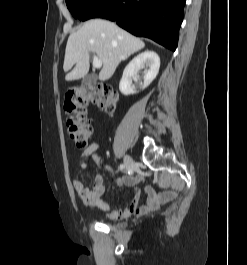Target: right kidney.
Returning <instances> with one entry per match:
<instances>
[{"label": "right kidney", "mask_w": 247, "mask_h": 265, "mask_svg": "<svg viewBox=\"0 0 247 265\" xmlns=\"http://www.w3.org/2000/svg\"><path fill=\"white\" fill-rule=\"evenodd\" d=\"M143 68L144 82L142 89H145L156 78L160 68V58L154 51H145L136 56L126 66L119 89L123 95L135 94L137 91L132 87V77L137 75Z\"/></svg>", "instance_id": "ca27d5eb"}]
</instances>
